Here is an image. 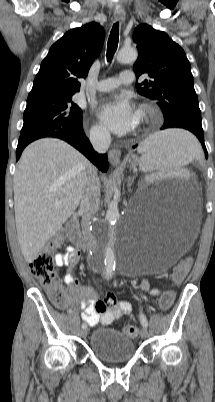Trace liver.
<instances>
[{
  "mask_svg": "<svg viewBox=\"0 0 215 402\" xmlns=\"http://www.w3.org/2000/svg\"><path fill=\"white\" fill-rule=\"evenodd\" d=\"M91 163L55 138L29 144L16 168L13 190L18 241L33 262L81 202Z\"/></svg>",
  "mask_w": 215,
  "mask_h": 402,
  "instance_id": "liver-1",
  "label": "liver"
}]
</instances>
